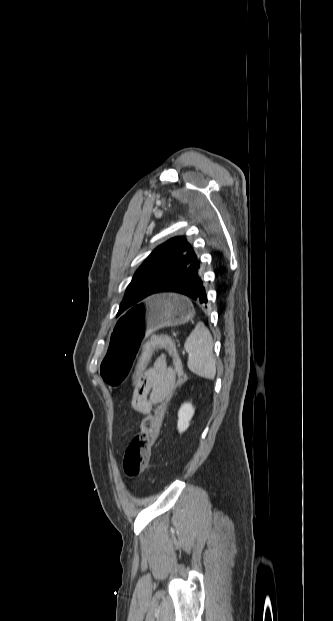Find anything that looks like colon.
<instances>
[{
	"label": "colon",
	"mask_w": 333,
	"mask_h": 621,
	"mask_svg": "<svg viewBox=\"0 0 333 621\" xmlns=\"http://www.w3.org/2000/svg\"><path fill=\"white\" fill-rule=\"evenodd\" d=\"M160 348L166 349L172 358L174 370L178 377V385H181L186 381L187 377L184 373L182 362L175 344L166 336H155L152 337L142 349L133 374L134 387L138 384L144 372L147 370L146 368L152 354L155 350ZM165 409L166 403L159 405L155 412L150 429L135 435L127 446L123 458V470L126 476L130 478L137 477L147 468L152 447L154 446L159 434Z\"/></svg>",
	"instance_id": "obj_1"
}]
</instances>
